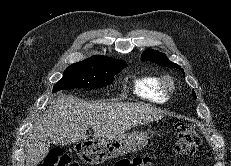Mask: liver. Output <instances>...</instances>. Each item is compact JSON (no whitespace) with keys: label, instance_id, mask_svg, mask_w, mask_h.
I'll return each mask as SVG.
<instances>
[{"label":"liver","instance_id":"1","mask_svg":"<svg viewBox=\"0 0 231 166\" xmlns=\"http://www.w3.org/2000/svg\"><path fill=\"white\" fill-rule=\"evenodd\" d=\"M162 117L163 112L149 104L87 102L61 94L26 137V166H37L43 161L51 142L68 145L87 139L86 131L90 127L94 137L110 140Z\"/></svg>","mask_w":231,"mask_h":166}]
</instances>
